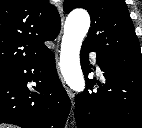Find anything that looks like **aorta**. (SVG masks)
I'll use <instances>...</instances> for the list:
<instances>
[{
	"label": "aorta",
	"instance_id": "762f6f07",
	"mask_svg": "<svg viewBox=\"0 0 142 128\" xmlns=\"http://www.w3.org/2000/svg\"><path fill=\"white\" fill-rule=\"evenodd\" d=\"M89 27L90 17L86 11L72 12L66 19L61 42L60 70L66 84L78 93L85 88L80 66V49Z\"/></svg>",
	"mask_w": 142,
	"mask_h": 128
}]
</instances>
